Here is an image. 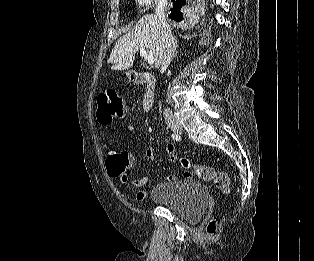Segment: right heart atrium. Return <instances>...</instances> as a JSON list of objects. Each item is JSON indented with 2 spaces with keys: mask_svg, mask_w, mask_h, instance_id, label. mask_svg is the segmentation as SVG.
Wrapping results in <instances>:
<instances>
[{
  "mask_svg": "<svg viewBox=\"0 0 314 261\" xmlns=\"http://www.w3.org/2000/svg\"><path fill=\"white\" fill-rule=\"evenodd\" d=\"M156 0H135L136 4L144 10H147Z\"/></svg>",
  "mask_w": 314,
  "mask_h": 261,
  "instance_id": "obj_1",
  "label": "right heart atrium"
}]
</instances>
